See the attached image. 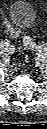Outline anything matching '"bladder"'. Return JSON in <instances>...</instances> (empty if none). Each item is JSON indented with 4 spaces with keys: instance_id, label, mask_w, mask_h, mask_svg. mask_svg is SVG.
Masks as SVG:
<instances>
[{
    "instance_id": "bladder-1",
    "label": "bladder",
    "mask_w": 47,
    "mask_h": 129,
    "mask_svg": "<svg viewBox=\"0 0 47 129\" xmlns=\"http://www.w3.org/2000/svg\"><path fill=\"white\" fill-rule=\"evenodd\" d=\"M9 21L19 31L32 28L37 21L33 6L26 0H15L9 7Z\"/></svg>"
}]
</instances>
